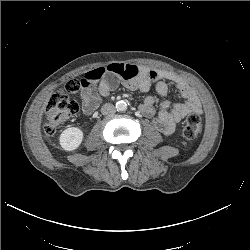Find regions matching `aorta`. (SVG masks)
Returning <instances> with one entry per match:
<instances>
[{
	"instance_id": "762f6f07",
	"label": "aorta",
	"mask_w": 250,
	"mask_h": 250,
	"mask_svg": "<svg viewBox=\"0 0 250 250\" xmlns=\"http://www.w3.org/2000/svg\"><path fill=\"white\" fill-rule=\"evenodd\" d=\"M116 110L120 111V112L126 111L127 110V104H126V102H124V101H118L116 103Z\"/></svg>"
}]
</instances>
